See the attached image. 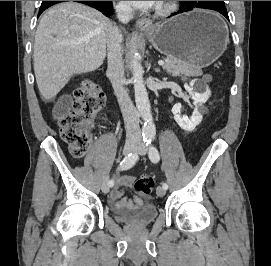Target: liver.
<instances>
[{
  "mask_svg": "<svg viewBox=\"0 0 271 266\" xmlns=\"http://www.w3.org/2000/svg\"><path fill=\"white\" fill-rule=\"evenodd\" d=\"M112 22L79 3L53 6L40 20L34 41V73L40 94L54 98L75 74L104 62Z\"/></svg>",
  "mask_w": 271,
  "mask_h": 266,
  "instance_id": "1",
  "label": "liver"
}]
</instances>
